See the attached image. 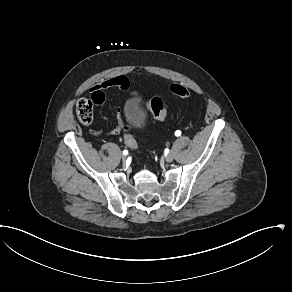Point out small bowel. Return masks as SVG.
I'll list each match as a JSON object with an SVG mask.
<instances>
[{
  "label": "small bowel",
  "instance_id": "small-bowel-1",
  "mask_svg": "<svg viewBox=\"0 0 292 292\" xmlns=\"http://www.w3.org/2000/svg\"><path fill=\"white\" fill-rule=\"evenodd\" d=\"M128 87H129L128 80L123 76H117V77L101 80L100 82L94 85L93 89L101 90V89H108V88H117L122 91H127ZM114 111L118 113L116 115V118L118 119L117 126L106 128L104 131L102 129H99L97 132L94 129H91L89 131V134L91 136H94L96 134L98 137H101L104 133L106 135H112L115 133H119L121 130H123L125 128V119L123 118V115L119 113L121 111V108L119 106H116L114 108Z\"/></svg>",
  "mask_w": 292,
  "mask_h": 292
}]
</instances>
